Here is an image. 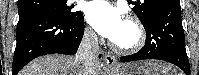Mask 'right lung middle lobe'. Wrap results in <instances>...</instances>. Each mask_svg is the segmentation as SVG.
Masks as SVG:
<instances>
[{
  "label": "right lung middle lobe",
  "instance_id": "right-lung-middle-lobe-1",
  "mask_svg": "<svg viewBox=\"0 0 199 75\" xmlns=\"http://www.w3.org/2000/svg\"><path fill=\"white\" fill-rule=\"evenodd\" d=\"M73 6L67 5V0H20L18 1L19 14L25 12H45L63 21H72L81 12L71 11Z\"/></svg>",
  "mask_w": 199,
  "mask_h": 75
}]
</instances>
